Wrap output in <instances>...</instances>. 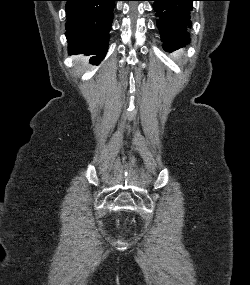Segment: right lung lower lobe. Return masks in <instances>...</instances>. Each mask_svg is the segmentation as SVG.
Masks as SVG:
<instances>
[{"label":"right lung lower lobe","mask_w":250,"mask_h":285,"mask_svg":"<svg viewBox=\"0 0 250 285\" xmlns=\"http://www.w3.org/2000/svg\"><path fill=\"white\" fill-rule=\"evenodd\" d=\"M67 1L66 37L69 54L95 55L91 62L99 64L108 49L109 31L117 0Z\"/></svg>","instance_id":"1"}]
</instances>
